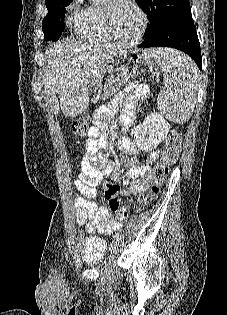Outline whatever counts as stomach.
Instances as JSON below:
<instances>
[{
  "instance_id": "obj_1",
  "label": "stomach",
  "mask_w": 227,
  "mask_h": 315,
  "mask_svg": "<svg viewBox=\"0 0 227 315\" xmlns=\"http://www.w3.org/2000/svg\"><path fill=\"white\" fill-rule=\"evenodd\" d=\"M115 62L112 63L109 67L104 68L99 75H92L91 80L87 81V86L90 91H111L112 82H116L117 77L116 68H113Z\"/></svg>"
}]
</instances>
